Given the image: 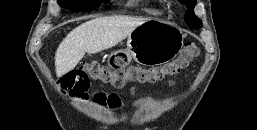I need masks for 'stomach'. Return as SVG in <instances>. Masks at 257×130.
<instances>
[{
  "label": "stomach",
  "mask_w": 257,
  "mask_h": 130,
  "mask_svg": "<svg viewBox=\"0 0 257 130\" xmlns=\"http://www.w3.org/2000/svg\"><path fill=\"white\" fill-rule=\"evenodd\" d=\"M182 31L164 21L148 20L139 25L128 36L127 47L109 57L111 63L136 62L150 66L172 60L183 46Z\"/></svg>",
  "instance_id": "stomach-1"
}]
</instances>
